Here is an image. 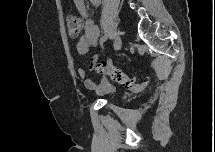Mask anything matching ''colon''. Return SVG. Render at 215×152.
Here are the masks:
<instances>
[{"label":"colon","instance_id":"5ec220e1","mask_svg":"<svg viewBox=\"0 0 215 152\" xmlns=\"http://www.w3.org/2000/svg\"><path fill=\"white\" fill-rule=\"evenodd\" d=\"M66 26L69 34L72 37H76L81 31L82 20L76 15H68L66 18ZM90 70L100 75L109 76L113 81L124 85V87L132 93L141 92L148 86L147 82L139 83L122 70L111 66L107 62H91Z\"/></svg>","mask_w":215,"mask_h":152}]
</instances>
